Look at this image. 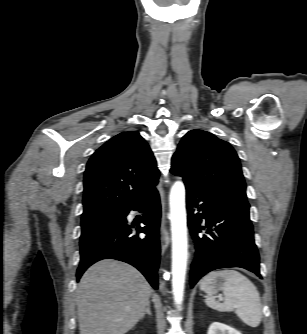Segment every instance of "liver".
<instances>
[{"label":"liver","mask_w":307,"mask_h":334,"mask_svg":"<svg viewBox=\"0 0 307 334\" xmlns=\"http://www.w3.org/2000/svg\"><path fill=\"white\" fill-rule=\"evenodd\" d=\"M152 288L133 266L104 259L83 274L76 292L80 334H125L142 318Z\"/></svg>","instance_id":"1"}]
</instances>
